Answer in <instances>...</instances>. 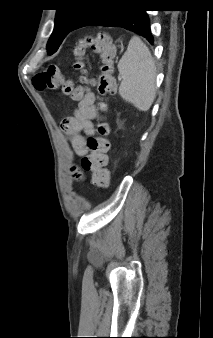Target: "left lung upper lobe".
Here are the masks:
<instances>
[{
	"mask_svg": "<svg viewBox=\"0 0 213 338\" xmlns=\"http://www.w3.org/2000/svg\"><path fill=\"white\" fill-rule=\"evenodd\" d=\"M108 1V0H107ZM106 0H60L64 5L56 12L55 26L47 44L48 54L55 53L74 25L95 5Z\"/></svg>",
	"mask_w": 213,
	"mask_h": 338,
	"instance_id": "1",
	"label": "left lung upper lobe"
}]
</instances>
